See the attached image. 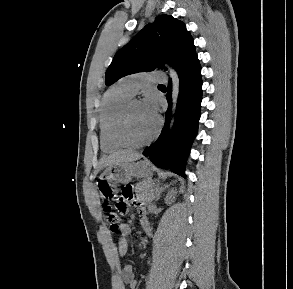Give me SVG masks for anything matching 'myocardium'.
I'll return each instance as SVG.
<instances>
[{"label":"myocardium","mask_w":293,"mask_h":289,"mask_svg":"<svg viewBox=\"0 0 293 289\" xmlns=\"http://www.w3.org/2000/svg\"><path fill=\"white\" fill-rule=\"evenodd\" d=\"M137 103H141V101L136 98H131L128 102H126V104L121 109L115 124V139L122 147L125 148L139 149L146 147L158 137L161 131L162 122L160 119H157L156 128L147 140L143 142H133L129 139L127 135V120L132 106Z\"/></svg>","instance_id":"obj_1"}]
</instances>
